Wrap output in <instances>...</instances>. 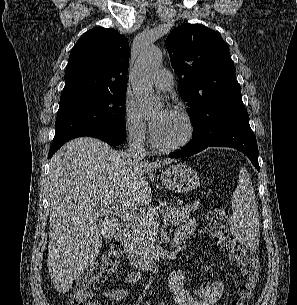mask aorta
<instances>
[{
    "label": "aorta",
    "instance_id": "aorta-1",
    "mask_svg": "<svg viewBox=\"0 0 297 305\" xmlns=\"http://www.w3.org/2000/svg\"><path fill=\"white\" fill-rule=\"evenodd\" d=\"M161 62V50L156 46L150 45L142 50L134 66L132 88L140 109L145 114L153 113L159 106V102L153 93L152 77Z\"/></svg>",
    "mask_w": 297,
    "mask_h": 305
}]
</instances>
